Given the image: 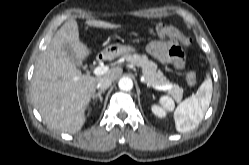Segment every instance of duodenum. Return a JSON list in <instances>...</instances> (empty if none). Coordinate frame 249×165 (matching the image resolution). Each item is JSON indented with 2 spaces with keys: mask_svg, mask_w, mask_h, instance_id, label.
<instances>
[{
  "mask_svg": "<svg viewBox=\"0 0 249 165\" xmlns=\"http://www.w3.org/2000/svg\"><path fill=\"white\" fill-rule=\"evenodd\" d=\"M105 58H106V55L105 54H101V55L98 56L97 61L98 62L104 61Z\"/></svg>",
  "mask_w": 249,
  "mask_h": 165,
  "instance_id": "duodenum-1",
  "label": "duodenum"
}]
</instances>
